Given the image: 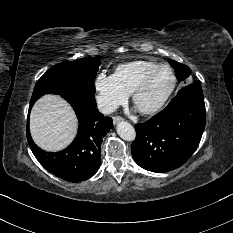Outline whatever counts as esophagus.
Returning a JSON list of instances; mask_svg holds the SVG:
<instances>
[{
    "label": "esophagus",
    "mask_w": 233,
    "mask_h": 233,
    "mask_svg": "<svg viewBox=\"0 0 233 233\" xmlns=\"http://www.w3.org/2000/svg\"><path fill=\"white\" fill-rule=\"evenodd\" d=\"M123 119H122V117H120V116H114L113 117V123L114 124H117V123H119V122H121Z\"/></svg>",
    "instance_id": "obj_1"
}]
</instances>
